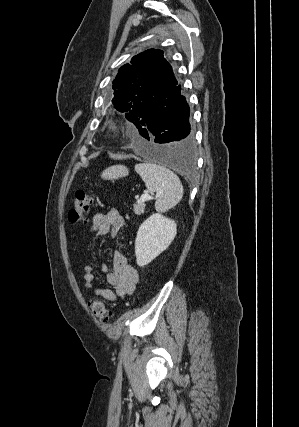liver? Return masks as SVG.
Masks as SVG:
<instances>
[{"label":"liver","mask_w":299,"mask_h":427,"mask_svg":"<svg viewBox=\"0 0 299 427\" xmlns=\"http://www.w3.org/2000/svg\"><path fill=\"white\" fill-rule=\"evenodd\" d=\"M128 174V169L122 165H116L107 168L103 171L101 177L104 179H112L126 176Z\"/></svg>","instance_id":"1"}]
</instances>
